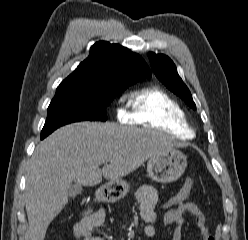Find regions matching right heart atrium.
<instances>
[{
  "instance_id": "obj_1",
  "label": "right heart atrium",
  "mask_w": 248,
  "mask_h": 240,
  "mask_svg": "<svg viewBox=\"0 0 248 240\" xmlns=\"http://www.w3.org/2000/svg\"><path fill=\"white\" fill-rule=\"evenodd\" d=\"M118 117L121 119H125L126 117V112L123 110H118Z\"/></svg>"
}]
</instances>
